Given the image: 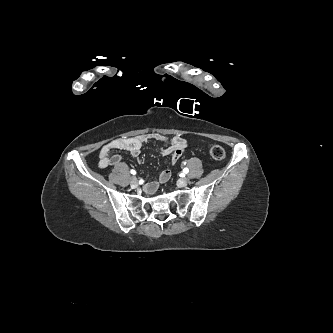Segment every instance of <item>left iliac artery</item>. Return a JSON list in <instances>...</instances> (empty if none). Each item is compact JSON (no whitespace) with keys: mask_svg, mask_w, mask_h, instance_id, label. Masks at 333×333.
Segmentation results:
<instances>
[{"mask_svg":"<svg viewBox=\"0 0 333 333\" xmlns=\"http://www.w3.org/2000/svg\"><path fill=\"white\" fill-rule=\"evenodd\" d=\"M183 172H184L185 174H187V173L189 172V169L186 167V168L183 169Z\"/></svg>","mask_w":333,"mask_h":333,"instance_id":"left-iliac-artery-1","label":"left iliac artery"}]
</instances>
